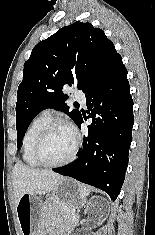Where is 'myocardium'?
I'll return each instance as SVG.
<instances>
[{"mask_svg": "<svg viewBox=\"0 0 155 235\" xmlns=\"http://www.w3.org/2000/svg\"><path fill=\"white\" fill-rule=\"evenodd\" d=\"M56 127L67 128L73 134L74 145H73L71 153L64 160L59 161V162H48L43 158L42 148L48 135ZM79 147H80V137L78 133L76 132V130L64 120L53 119V120H50L40 132L36 140L35 146H34L33 154H34V158L40 165L45 166V167L55 168V167H61V166L67 165L70 162H72L77 155Z\"/></svg>", "mask_w": 155, "mask_h": 235, "instance_id": "myocardium-1", "label": "myocardium"}]
</instances>
